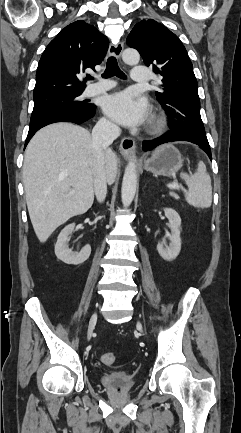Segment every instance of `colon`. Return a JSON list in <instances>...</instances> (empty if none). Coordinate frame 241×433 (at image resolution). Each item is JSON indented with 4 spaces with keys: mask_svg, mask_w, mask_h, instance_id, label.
<instances>
[{
    "mask_svg": "<svg viewBox=\"0 0 241 433\" xmlns=\"http://www.w3.org/2000/svg\"><path fill=\"white\" fill-rule=\"evenodd\" d=\"M101 361L105 365H111L115 361V354L112 353V352L105 353V354L102 355Z\"/></svg>",
    "mask_w": 241,
    "mask_h": 433,
    "instance_id": "colon-1",
    "label": "colon"
}]
</instances>
